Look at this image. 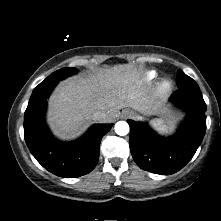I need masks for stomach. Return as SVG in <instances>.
<instances>
[{"mask_svg": "<svg viewBox=\"0 0 221 221\" xmlns=\"http://www.w3.org/2000/svg\"><path fill=\"white\" fill-rule=\"evenodd\" d=\"M133 115H134L135 118H140V116H139L138 114H136V113H133ZM160 124H161V123L158 122V123H156L155 125H156V126H160Z\"/></svg>", "mask_w": 221, "mask_h": 221, "instance_id": "stomach-1", "label": "stomach"}]
</instances>
